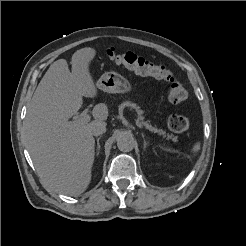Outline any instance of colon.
I'll return each instance as SVG.
<instances>
[{
	"label": "colon",
	"instance_id": "1",
	"mask_svg": "<svg viewBox=\"0 0 246 246\" xmlns=\"http://www.w3.org/2000/svg\"><path fill=\"white\" fill-rule=\"evenodd\" d=\"M107 56L115 64L142 76H151L169 84L168 101L172 104L183 102L187 98V89L179 83L174 74L165 66L156 65L151 61L127 51L118 53L113 48L107 50ZM168 127L173 132H184L190 128V120L182 115L173 114L168 119Z\"/></svg>",
	"mask_w": 246,
	"mask_h": 246
}]
</instances>
